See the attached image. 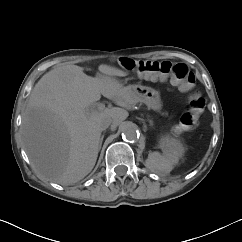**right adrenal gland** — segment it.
I'll return each instance as SVG.
<instances>
[{
  "instance_id": "right-adrenal-gland-1",
  "label": "right adrenal gland",
  "mask_w": 242,
  "mask_h": 242,
  "mask_svg": "<svg viewBox=\"0 0 242 242\" xmlns=\"http://www.w3.org/2000/svg\"><path fill=\"white\" fill-rule=\"evenodd\" d=\"M103 138H104V135H102V136H101V138H100L99 149H100V148H101V146H102Z\"/></svg>"
}]
</instances>
